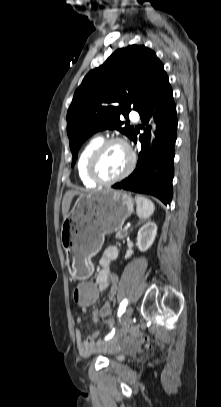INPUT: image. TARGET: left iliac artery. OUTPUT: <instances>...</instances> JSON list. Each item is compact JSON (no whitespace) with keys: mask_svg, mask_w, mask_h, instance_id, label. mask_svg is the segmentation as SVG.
Wrapping results in <instances>:
<instances>
[{"mask_svg":"<svg viewBox=\"0 0 221 407\" xmlns=\"http://www.w3.org/2000/svg\"><path fill=\"white\" fill-rule=\"evenodd\" d=\"M127 303H128V300H127V299H124V300L120 303V306H119V309H118V317H120V316L124 313V311H125V309H126V306H127ZM113 332H114V331H113ZM113 332H112L111 334H109V335L106 337V339L111 338V337L113 336Z\"/></svg>","mask_w":221,"mask_h":407,"instance_id":"obj_1","label":"left iliac artery"}]
</instances>
